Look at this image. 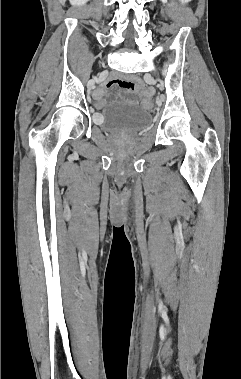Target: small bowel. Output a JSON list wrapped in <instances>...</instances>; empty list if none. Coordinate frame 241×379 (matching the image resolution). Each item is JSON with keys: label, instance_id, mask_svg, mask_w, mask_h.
Instances as JSON below:
<instances>
[{"label": "small bowel", "instance_id": "obj_1", "mask_svg": "<svg viewBox=\"0 0 241 379\" xmlns=\"http://www.w3.org/2000/svg\"><path fill=\"white\" fill-rule=\"evenodd\" d=\"M116 85L127 92H131L132 90H134V87H135L134 83H132L129 80H122L118 78L108 79L107 81H105V83L101 87H99L94 92V99L96 101L97 107H103L105 105L106 90ZM124 99L129 102H135V100L131 98L124 97Z\"/></svg>", "mask_w": 241, "mask_h": 379}]
</instances>
